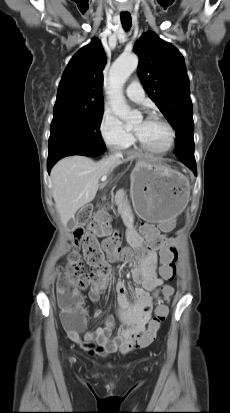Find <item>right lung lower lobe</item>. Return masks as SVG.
Masks as SVG:
<instances>
[{"label":"right lung lower lobe","instance_id":"98d812e1","mask_svg":"<svg viewBox=\"0 0 230 413\" xmlns=\"http://www.w3.org/2000/svg\"><path fill=\"white\" fill-rule=\"evenodd\" d=\"M105 150H106V147L104 149H72V150L63 151L54 157L48 158V161H47L48 173H50L52 166L63 157L71 156V155L98 156V155L103 154Z\"/></svg>","mask_w":230,"mask_h":413}]
</instances>
